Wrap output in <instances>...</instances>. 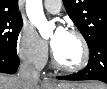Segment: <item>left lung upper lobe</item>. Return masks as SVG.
Wrapping results in <instances>:
<instances>
[{"label":"left lung upper lobe","instance_id":"left-lung-upper-lobe-1","mask_svg":"<svg viewBox=\"0 0 107 89\" xmlns=\"http://www.w3.org/2000/svg\"><path fill=\"white\" fill-rule=\"evenodd\" d=\"M63 3L88 46L107 37V0H63Z\"/></svg>","mask_w":107,"mask_h":89}]
</instances>
